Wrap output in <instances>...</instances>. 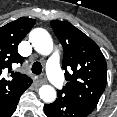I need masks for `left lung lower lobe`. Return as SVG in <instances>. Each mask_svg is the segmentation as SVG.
Wrapping results in <instances>:
<instances>
[{
	"label": "left lung lower lobe",
	"mask_w": 117,
	"mask_h": 117,
	"mask_svg": "<svg viewBox=\"0 0 117 117\" xmlns=\"http://www.w3.org/2000/svg\"><path fill=\"white\" fill-rule=\"evenodd\" d=\"M44 112L48 117H86L91 113L61 91H57L56 101L44 105Z\"/></svg>",
	"instance_id": "1"
}]
</instances>
